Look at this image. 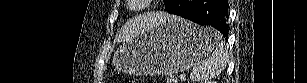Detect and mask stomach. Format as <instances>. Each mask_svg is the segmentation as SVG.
<instances>
[{
  "label": "stomach",
  "mask_w": 307,
  "mask_h": 83,
  "mask_svg": "<svg viewBox=\"0 0 307 83\" xmlns=\"http://www.w3.org/2000/svg\"><path fill=\"white\" fill-rule=\"evenodd\" d=\"M207 31L208 28L173 16L121 45L114 53L113 65L136 75H172L184 71L213 48Z\"/></svg>",
  "instance_id": "0dacf381"
}]
</instances>
